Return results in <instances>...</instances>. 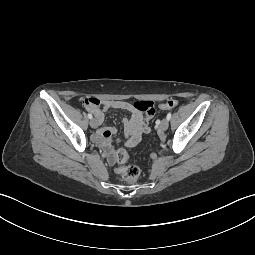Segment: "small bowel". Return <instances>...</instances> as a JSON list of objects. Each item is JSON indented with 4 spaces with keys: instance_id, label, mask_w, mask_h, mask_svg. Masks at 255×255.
<instances>
[{
    "instance_id": "obj_1",
    "label": "small bowel",
    "mask_w": 255,
    "mask_h": 255,
    "mask_svg": "<svg viewBox=\"0 0 255 255\" xmlns=\"http://www.w3.org/2000/svg\"><path fill=\"white\" fill-rule=\"evenodd\" d=\"M94 99L97 101V104L85 106L94 114L98 125L103 123L104 111L107 109H125L131 112V116L129 118H125L123 121L127 136V140L125 142L126 146L132 147L136 145L140 141L142 135L149 132L148 122L155 112L151 102L140 101L132 104L126 101H100L96 98ZM161 108L165 109L163 107ZM142 112L146 114L145 117ZM115 132L116 129L114 127H102L96 133V140L105 147L109 163L112 165L115 164V157L111 148L110 140Z\"/></svg>"
}]
</instances>
